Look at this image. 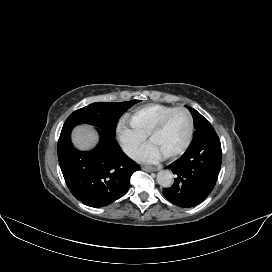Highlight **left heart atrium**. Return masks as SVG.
Returning <instances> with one entry per match:
<instances>
[{
	"instance_id": "left-heart-atrium-1",
	"label": "left heart atrium",
	"mask_w": 272,
	"mask_h": 272,
	"mask_svg": "<svg viewBox=\"0 0 272 272\" xmlns=\"http://www.w3.org/2000/svg\"><path fill=\"white\" fill-rule=\"evenodd\" d=\"M162 156L163 154L160 150L150 142L143 150L140 158L145 162L153 163L158 161Z\"/></svg>"
}]
</instances>
